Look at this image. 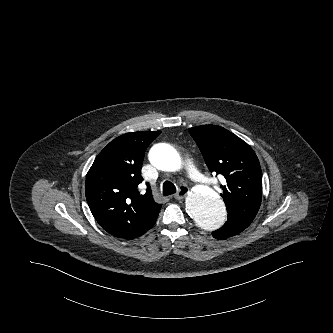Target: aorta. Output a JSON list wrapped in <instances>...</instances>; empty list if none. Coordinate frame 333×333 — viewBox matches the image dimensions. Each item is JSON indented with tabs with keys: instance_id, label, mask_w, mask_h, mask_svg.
I'll return each mask as SVG.
<instances>
[{
	"instance_id": "obj_1",
	"label": "aorta",
	"mask_w": 333,
	"mask_h": 333,
	"mask_svg": "<svg viewBox=\"0 0 333 333\" xmlns=\"http://www.w3.org/2000/svg\"><path fill=\"white\" fill-rule=\"evenodd\" d=\"M149 159L154 167L164 171H176L181 166V159L177 151L165 143L153 146ZM185 205L190 217L205 231H215L226 221L224 202L209 187L200 186L189 193Z\"/></svg>"
}]
</instances>
